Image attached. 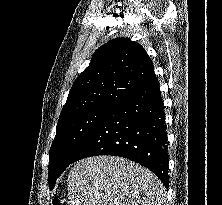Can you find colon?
Listing matches in <instances>:
<instances>
[{"label":"colon","instance_id":"5ec220e1","mask_svg":"<svg viewBox=\"0 0 222 205\" xmlns=\"http://www.w3.org/2000/svg\"><path fill=\"white\" fill-rule=\"evenodd\" d=\"M51 205H62L61 198L59 196L53 197Z\"/></svg>","mask_w":222,"mask_h":205}]
</instances>
